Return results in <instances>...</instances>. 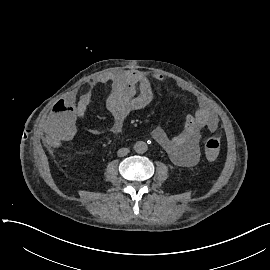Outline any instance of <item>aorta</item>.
Listing matches in <instances>:
<instances>
[{"mask_svg": "<svg viewBox=\"0 0 270 270\" xmlns=\"http://www.w3.org/2000/svg\"><path fill=\"white\" fill-rule=\"evenodd\" d=\"M134 150L136 153L143 154L148 150V146L144 141H137L134 144Z\"/></svg>", "mask_w": 270, "mask_h": 270, "instance_id": "aorta-1", "label": "aorta"}]
</instances>
